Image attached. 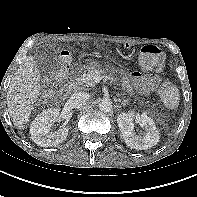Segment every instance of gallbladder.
Returning <instances> with one entry per match:
<instances>
[{"label": "gallbladder", "instance_id": "obj_1", "mask_svg": "<svg viewBox=\"0 0 197 197\" xmlns=\"http://www.w3.org/2000/svg\"><path fill=\"white\" fill-rule=\"evenodd\" d=\"M44 57H47L45 54H42L41 56H40V59H42V58H44Z\"/></svg>", "mask_w": 197, "mask_h": 197}]
</instances>
